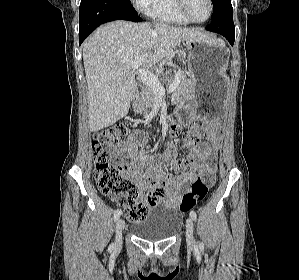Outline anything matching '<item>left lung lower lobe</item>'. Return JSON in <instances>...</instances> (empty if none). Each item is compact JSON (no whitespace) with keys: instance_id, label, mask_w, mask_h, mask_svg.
Segmentation results:
<instances>
[{"instance_id":"left-lung-lower-lobe-1","label":"left lung lower lobe","mask_w":299,"mask_h":280,"mask_svg":"<svg viewBox=\"0 0 299 280\" xmlns=\"http://www.w3.org/2000/svg\"><path fill=\"white\" fill-rule=\"evenodd\" d=\"M231 0H220L213 12L211 23L206 30L223 35L231 45L234 43L235 27L232 17Z\"/></svg>"}]
</instances>
